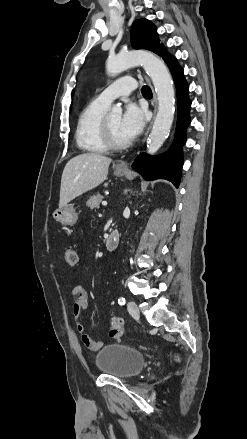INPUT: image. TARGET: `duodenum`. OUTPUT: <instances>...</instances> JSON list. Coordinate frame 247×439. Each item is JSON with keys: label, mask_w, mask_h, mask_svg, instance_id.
Instances as JSON below:
<instances>
[{"label": "duodenum", "mask_w": 247, "mask_h": 439, "mask_svg": "<svg viewBox=\"0 0 247 439\" xmlns=\"http://www.w3.org/2000/svg\"><path fill=\"white\" fill-rule=\"evenodd\" d=\"M120 243V234L118 231L114 230L110 232L105 240V247L108 251L115 250Z\"/></svg>", "instance_id": "410a0bca"}]
</instances>
